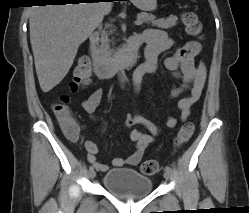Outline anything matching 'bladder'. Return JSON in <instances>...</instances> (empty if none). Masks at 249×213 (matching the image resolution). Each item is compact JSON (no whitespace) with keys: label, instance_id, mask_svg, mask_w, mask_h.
<instances>
[{"label":"bladder","instance_id":"bladder-1","mask_svg":"<svg viewBox=\"0 0 249 213\" xmlns=\"http://www.w3.org/2000/svg\"><path fill=\"white\" fill-rule=\"evenodd\" d=\"M102 183L105 190L124 200L142 198L153 190V181L150 177L129 168L108 171Z\"/></svg>","mask_w":249,"mask_h":213}]
</instances>
